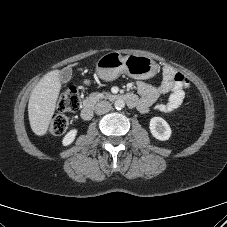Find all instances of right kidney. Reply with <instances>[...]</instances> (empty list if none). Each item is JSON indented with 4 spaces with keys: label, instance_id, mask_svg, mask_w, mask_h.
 Masks as SVG:
<instances>
[{
    "label": "right kidney",
    "instance_id": "right-kidney-1",
    "mask_svg": "<svg viewBox=\"0 0 227 227\" xmlns=\"http://www.w3.org/2000/svg\"><path fill=\"white\" fill-rule=\"evenodd\" d=\"M76 134H77V129H72V130H70V131L64 136V138H63V140H62V144H63L64 146L70 145V144L74 141V139H75V137H76Z\"/></svg>",
    "mask_w": 227,
    "mask_h": 227
}]
</instances>
